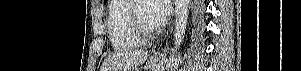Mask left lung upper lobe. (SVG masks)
<instances>
[{
	"instance_id": "obj_1",
	"label": "left lung upper lobe",
	"mask_w": 301,
	"mask_h": 71,
	"mask_svg": "<svg viewBox=\"0 0 301 71\" xmlns=\"http://www.w3.org/2000/svg\"><path fill=\"white\" fill-rule=\"evenodd\" d=\"M107 2V0H105V3ZM197 28H195V26H194V34H195V36L197 37V38H199L200 36H201V34H197Z\"/></svg>"
}]
</instances>
